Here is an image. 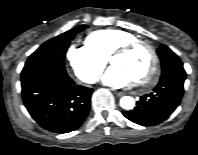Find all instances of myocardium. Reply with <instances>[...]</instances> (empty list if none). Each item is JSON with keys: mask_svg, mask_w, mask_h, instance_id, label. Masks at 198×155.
I'll list each match as a JSON object with an SVG mask.
<instances>
[{"mask_svg": "<svg viewBox=\"0 0 198 155\" xmlns=\"http://www.w3.org/2000/svg\"><path fill=\"white\" fill-rule=\"evenodd\" d=\"M140 45L145 46L149 50L151 54V58H152V66H151L150 71L146 74V76L143 79L136 80L135 84L144 89H148L155 84L156 79L158 77L159 66H160L158 53L155 47L150 42L146 40H141V39H134V40L128 41L120 45L118 48H116L112 52V54L110 55V60L117 55H123V54L130 52L131 50H133L134 48Z\"/></svg>", "mask_w": 198, "mask_h": 155, "instance_id": "1", "label": "myocardium"}]
</instances>
